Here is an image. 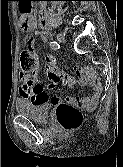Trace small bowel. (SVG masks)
<instances>
[{"label": "small bowel", "instance_id": "c3829d8e", "mask_svg": "<svg viewBox=\"0 0 123 167\" xmlns=\"http://www.w3.org/2000/svg\"><path fill=\"white\" fill-rule=\"evenodd\" d=\"M29 4L30 1H17V5H19V14H30L32 5ZM22 27L24 29H31V21L28 17L23 19ZM25 43L30 49H32L34 44L33 36H27L25 38ZM44 71L46 78L52 83L57 82L58 76L61 75L65 83L71 86L77 84L82 86H91L93 87V92L87 97H69L64 100L58 96L50 97L43 85L36 81V74L34 73L33 75L22 74L20 76L22 85L19 87L18 93L21 97L32 102L46 101L53 105L67 104L73 107H82L86 109H92L96 106L102 92V85L96 80L92 72H85L81 79L68 76L65 72L58 71L55 66V59L52 55L46 56Z\"/></svg>", "mask_w": 123, "mask_h": 167}]
</instances>
